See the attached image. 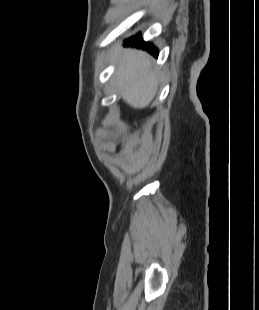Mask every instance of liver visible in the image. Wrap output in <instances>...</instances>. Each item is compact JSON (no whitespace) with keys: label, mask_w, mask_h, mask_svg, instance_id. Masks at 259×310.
<instances>
[{"label":"liver","mask_w":259,"mask_h":310,"mask_svg":"<svg viewBox=\"0 0 259 310\" xmlns=\"http://www.w3.org/2000/svg\"><path fill=\"white\" fill-rule=\"evenodd\" d=\"M113 59L119 61L115 84L122 99L133 108L147 107L153 100L159 76L150 57L139 50L115 49Z\"/></svg>","instance_id":"liver-1"}]
</instances>
